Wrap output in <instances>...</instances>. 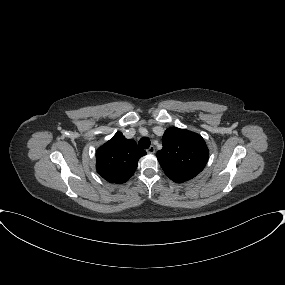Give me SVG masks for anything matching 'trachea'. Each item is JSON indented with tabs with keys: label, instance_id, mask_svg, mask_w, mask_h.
<instances>
[{
	"label": "trachea",
	"instance_id": "trachea-1",
	"mask_svg": "<svg viewBox=\"0 0 285 285\" xmlns=\"http://www.w3.org/2000/svg\"><path fill=\"white\" fill-rule=\"evenodd\" d=\"M138 144L140 148L148 149L150 147L151 142L149 138L143 137L139 140Z\"/></svg>",
	"mask_w": 285,
	"mask_h": 285
}]
</instances>
